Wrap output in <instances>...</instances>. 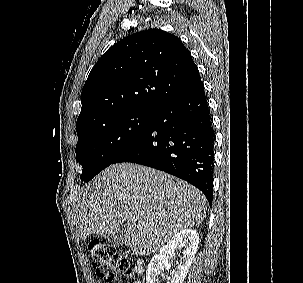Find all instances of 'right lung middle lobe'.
<instances>
[{"label":"right lung middle lobe","mask_w":303,"mask_h":283,"mask_svg":"<svg viewBox=\"0 0 303 283\" xmlns=\"http://www.w3.org/2000/svg\"><path fill=\"white\" fill-rule=\"evenodd\" d=\"M152 117L153 111H129L77 132L76 158L83 167L81 180L88 182L112 164L145 132Z\"/></svg>","instance_id":"dd1d6c3e"}]
</instances>
